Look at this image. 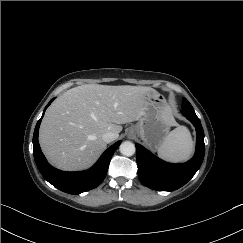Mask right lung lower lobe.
<instances>
[{"mask_svg":"<svg viewBox=\"0 0 243 243\" xmlns=\"http://www.w3.org/2000/svg\"><path fill=\"white\" fill-rule=\"evenodd\" d=\"M54 98L48 103L46 108L51 104ZM44 110V111H45ZM44 115V112H43ZM42 115V117H43ZM42 117L37 122L33 135V154L36 165L49 183L59 190L69 194H80L96 188L104 180L110 160L116 149L120 145V141L116 142L108 148L100 157L98 162L89 170L83 172H64L53 168L44 157L38 142V132Z\"/></svg>","mask_w":243,"mask_h":243,"instance_id":"1","label":"right lung lower lobe"}]
</instances>
